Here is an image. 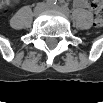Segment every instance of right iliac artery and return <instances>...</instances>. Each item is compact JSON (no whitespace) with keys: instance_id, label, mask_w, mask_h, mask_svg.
<instances>
[{"instance_id":"obj_1","label":"right iliac artery","mask_w":103,"mask_h":103,"mask_svg":"<svg viewBox=\"0 0 103 103\" xmlns=\"http://www.w3.org/2000/svg\"><path fill=\"white\" fill-rule=\"evenodd\" d=\"M46 3H47V5H49V6H53V5L56 4V0H48Z\"/></svg>"}]
</instances>
